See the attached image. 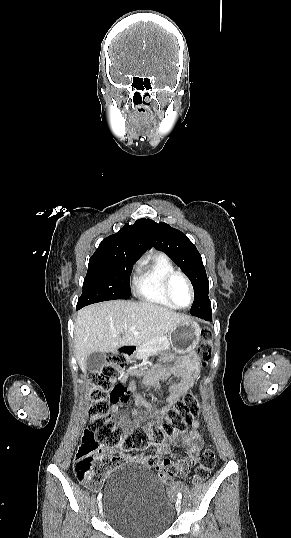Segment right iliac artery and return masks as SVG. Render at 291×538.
Returning a JSON list of instances; mask_svg holds the SVG:
<instances>
[{
    "label": "right iliac artery",
    "instance_id": "obj_1",
    "mask_svg": "<svg viewBox=\"0 0 291 538\" xmlns=\"http://www.w3.org/2000/svg\"><path fill=\"white\" fill-rule=\"evenodd\" d=\"M101 498H102V494H101V492H100V493L98 494V497H97L98 501H99Z\"/></svg>",
    "mask_w": 291,
    "mask_h": 538
}]
</instances>
